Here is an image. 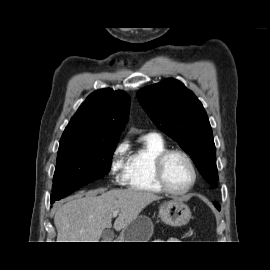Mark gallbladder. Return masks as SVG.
<instances>
[{
	"label": "gallbladder",
	"instance_id": "obj_1",
	"mask_svg": "<svg viewBox=\"0 0 270 270\" xmlns=\"http://www.w3.org/2000/svg\"><path fill=\"white\" fill-rule=\"evenodd\" d=\"M114 238L113 233L110 230H105L102 235L103 242H111Z\"/></svg>",
	"mask_w": 270,
	"mask_h": 270
}]
</instances>
